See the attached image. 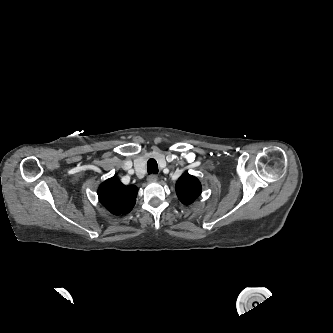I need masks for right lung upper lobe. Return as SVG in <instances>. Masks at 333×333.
<instances>
[{
  "label": "right lung upper lobe",
  "mask_w": 333,
  "mask_h": 333,
  "mask_svg": "<svg viewBox=\"0 0 333 333\" xmlns=\"http://www.w3.org/2000/svg\"><path fill=\"white\" fill-rule=\"evenodd\" d=\"M136 196L135 186H126L115 177L107 179L98 188L99 201L114 215L129 213L135 205Z\"/></svg>",
  "instance_id": "cb5924a9"
}]
</instances>
